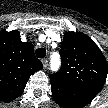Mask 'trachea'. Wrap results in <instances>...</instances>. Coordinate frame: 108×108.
<instances>
[{
  "label": "trachea",
  "mask_w": 108,
  "mask_h": 108,
  "mask_svg": "<svg viewBox=\"0 0 108 108\" xmlns=\"http://www.w3.org/2000/svg\"><path fill=\"white\" fill-rule=\"evenodd\" d=\"M35 53H36V56L38 58H44L46 55V49L45 48H38Z\"/></svg>",
  "instance_id": "1"
}]
</instances>
